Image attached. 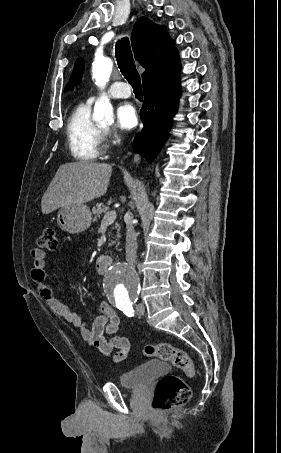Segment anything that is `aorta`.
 Masks as SVG:
<instances>
[{
    "mask_svg": "<svg viewBox=\"0 0 281 453\" xmlns=\"http://www.w3.org/2000/svg\"><path fill=\"white\" fill-rule=\"evenodd\" d=\"M112 68L113 62L109 58L101 57L93 61L92 77L101 90L109 81ZM93 119L101 123L114 121L113 107L105 93L95 103ZM103 289L110 302L122 307L137 298L140 290L139 277L131 266L114 264L104 275Z\"/></svg>",
    "mask_w": 281,
    "mask_h": 453,
    "instance_id": "1",
    "label": "aorta"
}]
</instances>
